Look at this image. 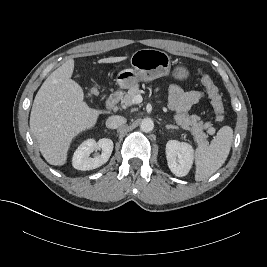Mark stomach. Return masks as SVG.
Here are the masks:
<instances>
[{
  "label": "stomach",
  "instance_id": "obj_1",
  "mask_svg": "<svg viewBox=\"0 0 267 267\" xmlns=\"http://www.w3.org/2000/svg\"><path fill=\"white\" fill-rule=\"evenodd\" d=\"M132 68L124 69L117 75V84L122 89H130L138 82H150L168 76L171 69V57L160 50L140 49L130 59ZM173 77L183 80L189 73L183 66L175 67Z\"/></svg>",
  "mask_w": 267,
  "mask_h": 267
}]
</instances>
